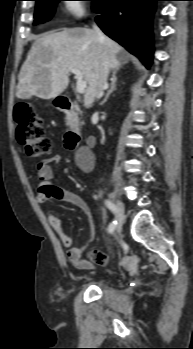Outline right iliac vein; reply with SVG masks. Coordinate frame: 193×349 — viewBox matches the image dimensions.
<instances>
[{
	"label": "right iliac vein",
	"mask_w": 193,
	"mask_h": 349,
	"mask_svg": "<svg viewBox=\"0 0 193 349\" xmlns=\"http://www.w3.org/2000/svg\"><path fill=\"white\" fill-rule=\"evenodd\" d=\"M116 233L119 235L122 230V225H123V219H124V204L120 199H116Z\"/></svg>",
	"instance_id": "obj_1"
}]
</instances>
